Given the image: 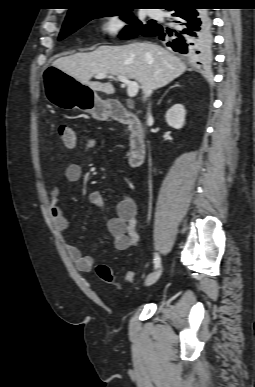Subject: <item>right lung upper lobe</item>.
I'll list each match as a JSON object with an SVG mask.
<instances>
[{
  "mask_svg": "<svg viewBox=\"0 0 255 387\" xmlns=\"http://www.w3.org/2000/svg\"><path fill=\"white\" fill-rule=\"evenodd\" d=\"M138 0H76L75 6L69 9L66 18H76L84 13L94 10H109L136 4ZM165 6L183 0H160Z\"/></svg>",
  "mask_w": 255,
  "mask_h": 387,
  "instance_id": "cb5924a9",
  "label": "right lung upper lobe"
}]
</instances>
